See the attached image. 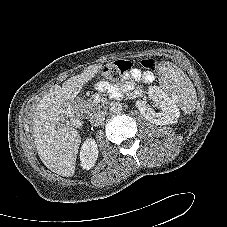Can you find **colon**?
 I'll return each instance as SVG.
<instances>
[{
    "instance_id": "5ec220e1",
    "label": "colon",
    "mask_w": 227,
    "mask_h": 227,
    "mask_svg": "<svg viewBox=\"0 0 227 227\" xmlns=\"http://www.w3.org/2000/svg\"><path fill=\"white\" fill-rule=\"evenodd\" d=\"M142 68L144 69V75L149 78V76H153L157 69V63L155 60L149 58L145 59L141 62ZM131 64L125 60H119L112 64L105 66L102 69V73L110 79H117L122 74L130 70Z\"/></svg>"
}]
</instances>
